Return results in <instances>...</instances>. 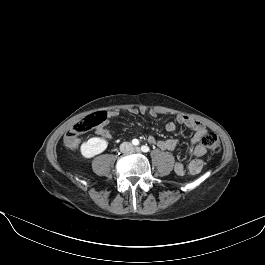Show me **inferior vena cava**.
<instances>
[{
    "label": "inferior vena cava",
    "mask_w": 265,
    "mask_h": 265,
    "mask_svg": "<svg viewBox=\"0 0 265 265\" xmlns=\"http://www.w3.org/2000/svg\"><path fill=\"white\" fill-rule=\"evenodd\" d=\"M124 146H129V147H130V146H132V144L129 143V142H124V143H122V144L120 145V150H121V151H124V149H123Z\"/></svg>",
    "instance_id": "602c4592"
}]
</instances>
